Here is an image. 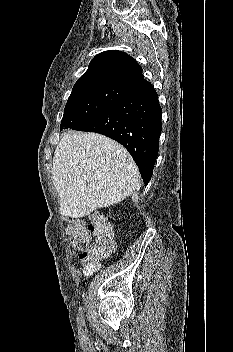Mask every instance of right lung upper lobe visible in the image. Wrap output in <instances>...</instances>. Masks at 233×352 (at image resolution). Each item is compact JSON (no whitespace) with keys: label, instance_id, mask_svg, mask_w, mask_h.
<instances>
[{"label":"right lung upper lobe","instance_id":"cb5924a9","mask_svg":"<svg viewBox=\"0 0 233 352\" xmlns=\"http://www.w3.org/2000/svg\"><path fill=\"white\" fill-rule=\"evenodd\" d=\"M121 85L142 91L152 84L142 75L141 66L128 54L108 50L96 55L73 90L98 85Z\"/></svg>","mask_w":233,"mask_h":352}]
</instances>
